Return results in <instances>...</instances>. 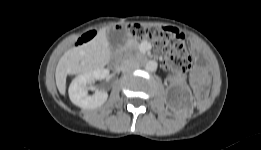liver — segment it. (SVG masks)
<instances>
[{
    "instance_id": "6515ba94",
    "label": "liver",
    "mask_w": 261,
    "mask_h": 150,
    "mask_svg": "<svg viewBox=\"0 0 261 150\" xmlns=\"http://www.w3.org/2000/svg\"><path fill=\"white\" fill-rule=\"evenodd\" d=\"M109 59L110 49L105 28L99 30L91 41L67 50L60 58L55 72L60 94H65L66 78L69 74L103 68Z\"/></svg>"
}]
</instances>
